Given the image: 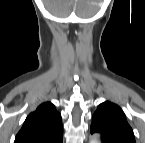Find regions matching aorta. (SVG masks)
Wrapping results in <instances>:
<instances>
[{
  "mask_svg": "<svg viewBox=\"0 0 145 143\" xmlns=\"http://www.w3.org/2000/svg\"><path fill=\"white\" fill-rule=\"evenodd\" d=\"M90 143H99V138L97 136H93L91 139H90Z\"/></svg>",
  "mask_w": 145,
  "mask_h": 143,
  "instance_id": "1",
  "label": "aorta"
}]
</instances>
